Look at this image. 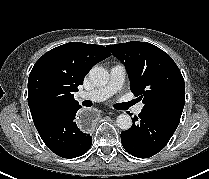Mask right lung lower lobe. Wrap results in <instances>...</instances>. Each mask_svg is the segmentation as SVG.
<instances>
[{"label":"right lung lower lobe","instance_id":"obj_1","mask_svg":"<svg viewBox=\"0 0 209 179\" xmlns=\"http://www.w3.org/2000/svg\"><path fill=\"white\" fill-rule=\"evenodd\" d=\"M80 108L78 106L64 111L38 131L46 146L60 157H79L91 147L92 137L81 131L74 121Z\"/></svg>","mask_w":209,"mask_h":179}]
</instances>
